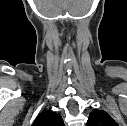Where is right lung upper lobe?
Returning a JSON list of instances; mask_svg holds the SVG:
<instances>
[{
  "label": "right lung upper lobe",
  "mask_w": 127,
  "mask_h": 126,
  "mask_svg": "<svg viewBox=\"0 0 127 126\" xmlns=\"http://www.w3.org/2000/svg\"><path fill=\"white\" fill-rule=\"evenodd\" d=\"M32 126H64V123L60 114L44 110L37 116Z\"/></svg>",
  "instance_id": "1"
}]
</instances>
